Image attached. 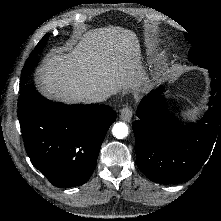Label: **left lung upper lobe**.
<instances>
[{"mask_svg":"<svg viewBox=\"0 0 221 221\" xmlns=\"http://www.w3.org/2000/svg\"><path fill=\"white\" fill-rule=\"evenodd\" d=\"M184 36L192 45L188 53L189 60L200 67L212 69L204 50L197 43H195L188 34H184Z\"/></svg>","mask_w":221,"mask_h":221,"instance_id":"left-lung-upper-lobe-1","label":"left lung upper lobe"}]
</instances>
